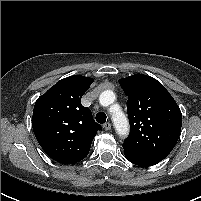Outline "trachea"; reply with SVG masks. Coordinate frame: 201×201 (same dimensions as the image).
Wrapping results in <instances>:
<instances>
[{
    "mask_svg": "<svg viewBox=\"0 0 201 201\" xmlns=\"http://www.w3.org/2000/svg\"><path fill=\"white\" fill-rule=\"evenodd\" d=\"M95 119L98 123L103 124L106 122L107 116L104 112H99Z\"/></svg>",
    "mask_w": 201,
    "mask_h": 201,
    "instance_id": "1",
    "label": "trachea"
}]
</instances>
